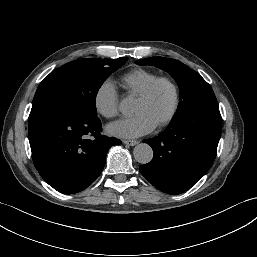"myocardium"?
Masks as SVG:
<instances>
[{"mask_svg": "<svg viewBox=\"0 0 257 257\" xmlns=\"http://www.w3.org/2000/svg\"><path fill=\"white\" fill-rule=\"evenodd\" d=\"M168 84L173 92V106L170 111V113L159 123L157 124V127L163 128L167 125H169L177 116L180 105H181V95H180V89L177 85V83L170 77L162 76L155 79L153 82H151L138 96L137 99L140 100H147L152 96L154 91L158 88L161 84Z\"/></svg>", "mask_w": 257, "mask_h": 257, "instance_id": "f54148a6", "label": "myocardium"}]
</instances>
